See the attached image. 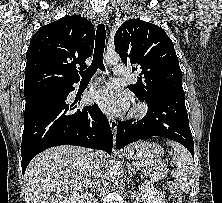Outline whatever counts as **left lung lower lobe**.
Returning <instances> with one entry per match:
<instances>
[{"mask_svg":"<svg viewBox=\"0 0 222 203\" xmlns=\"http://www.w3.org/2000/svg\"><path fill=\"white\" fill-rule=\"evenodd\" d=\"M148 111L139 121L120 122L116 147L152 136L174 140L184 145L194 157V142L189 127L184 95L164 92L146 101Z\"/></svg>","mask_w":222,"mask_h":203,"instance_id":"left-lung-lower-lobe-1","label":"left lung lower lobe"}]
</instances>
